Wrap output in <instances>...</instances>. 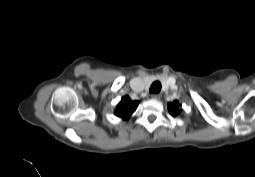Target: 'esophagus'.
Returning <instances> with one entry per match:
<instances>
[{
  "instance_id": "esophagus-1",
  "label": "esophagus",
  "mask_w": 255,
  "mask_h": 177,
  "mask_svg": "<svg viewBox=\"0 0 255 177\" xmlns=\"http://www.w3.org/2000/svg\"><path fill=\"white\" fill-rule=\"evenodd\" d=\"M151 98L152 99H159L160 98V94H152Z\"/></svg>"
}]
</instances>
